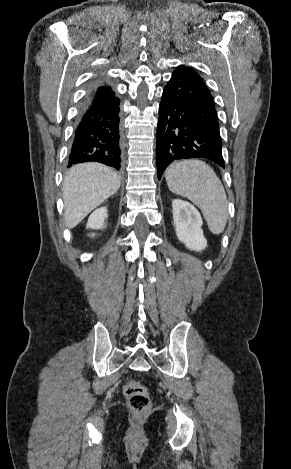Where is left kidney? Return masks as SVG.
I'll return each instance as SVG.
<instances>
[{"mask_svg": "<svg viewBox=\"0 0 291 469\" xmlns=\"http://www.w3.org/2000/svg\"><path fill=\"white\" fill-rule=\"evenodd\" d=\"M173 222L176 235L185 246L200 252L207 247V240L201 228L203 221L198 210L189 202L174 199L172 201Z\"/></svg>", "mask_w": 291, "mask_h": 469, "instance_id": "5707ae66", "label": "left kidney"}]
</instances>
